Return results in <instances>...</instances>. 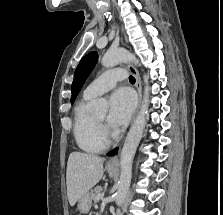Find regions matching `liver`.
<instances>
[{
    "label": "liver",
    "instance_id": "liver-1",
    "mask_svg": "<svg viewBox=\"0 0 223 215\" xmlns=\"http://www.w3.org/2000/svg\"><path fill=\"white\" fill-rule=\"evenodd\" d=\"M103 175V157L94 153L72 151L67 161L66 183L70 205H75L81 195L88 193Z\"/></svg>",
    "mask_w": 223,
    "mask_h": 215
}]
</instances>
